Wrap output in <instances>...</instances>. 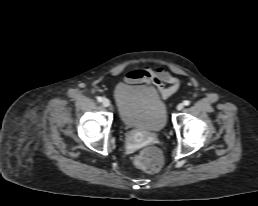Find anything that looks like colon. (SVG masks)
<instances>
[{"instance_id": "5ec220e1", "label": "colon", "mask_w": 258, "mask_h": 206, "mask_svg": "<svg viewBox=\"0 0 258 206\" xmlns=\"http://www.w3.org/2000/svg\"><path fill=\"white\" fill-rule=\"evenodd\" d=\"M133 162L136 167L146 171H156L162 165V155L155 147H148L138 152Z\"/></svg>"}]
</instances>
